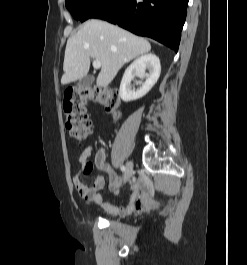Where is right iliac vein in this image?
I'll use <instances>...</instances> for the list:
<instances>
[{
	"label": "right iliac vein",
	"instance_id": "right-iliac-vein-1",
	"mask_svg": "<svg viewBox=\"0 0 247 265\" xmlns=\"http://www.w3.org/2000/svg\"><path fill=\"white\" fill-rule=\"evenodd\" d=\"M133 174V163L132 162H127L126 164V169L124 173V182H127Z\"/></svg>",
	"mask_w": 247,
	"mask_h": 265
}]
</instances>
